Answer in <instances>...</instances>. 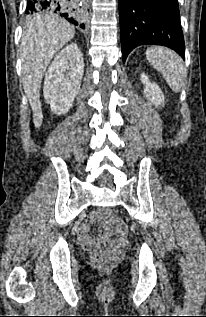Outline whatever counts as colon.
<instances>
[{
  "label": "colon",
  "mask_w": 206,
  "mask_h": 317,
  "mask_svg": "<svg viewBox=\"0 0 206 317\" xmlns=\"http://www.w3.org/2000/svg\"><path fill=\"white\" fill-rule=\"evenodd\" d=\"M102 220H111L115 226H120L122 223L119 220L112 219L111 212L108 209H102L99 212ZM85 249L91 252L92 260L96 265L107 266L114 262L121 254L120 249L108 247L99 239L90 240L84 245Z\"/></svg>",
  "instance_id": "colon-1"
}]
</instances>
